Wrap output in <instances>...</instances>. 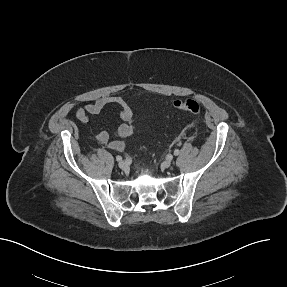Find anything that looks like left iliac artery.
<instances>
[{"mask_svg":"<svg viewBox=\"0 0 287 287\" xmlns=\"http://www.w3.org/2000/svg\"><path fill=\"white\" fill-rule=\"evenodd\" d=\"M179 153H180V151H179L178 149H175V150H174V155L177 156V155H179Z\"/></svg>","mask_w":287,"mask_h":287,"instance_id":"44dca946","label":"left iliac artery"}]
</instances>
